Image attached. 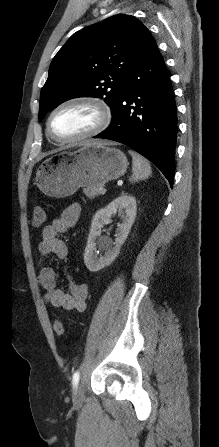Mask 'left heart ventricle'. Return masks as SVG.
Masks as SVG:
<instances>
[{"instance_id": "b2bd125f", "label": "left heart ventricle", "mask_w": 219, "mask_h": 447, "mask_svg": "<svg viewBox=\"0 0 219 447\" xmlns=\"http://www.w3.org/2000/svg\"><path fill=\"white\" fill-rule=\"evenodd\" d=\"M97 122L95 111L87 106H70L60 110L52 119L53 132L62 138L86 133Z\"/></svg>"}]
</instances>
